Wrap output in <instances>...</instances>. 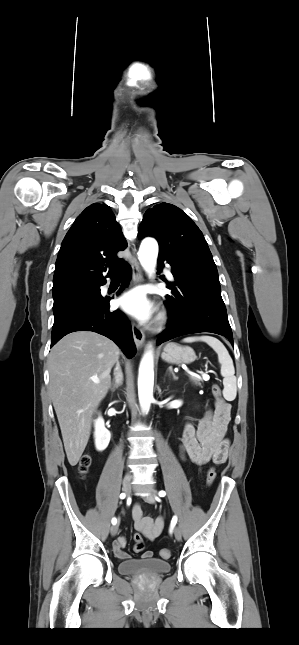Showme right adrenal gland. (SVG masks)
<instances>
[{
	"instance_id": "right-adrenal-gland-1",
	"label": "right adrenal gland",
	"mask_w": 299,
	"mask_h": 645,
	"mask_svg": "<svg viewBox=\"0 0 299 645\" xmlns=\"http://www.w3.org/2000/svg\"><path fill=\"white\" fill-rule=\"evenodd\" d=\"M116 371L119 374V381L115 380L112 386H110V390L112 392H115V390L118 389V387L122 384V381H123L122 372L119 364L117 365Z\"/></svg>"
}]
</instances>
